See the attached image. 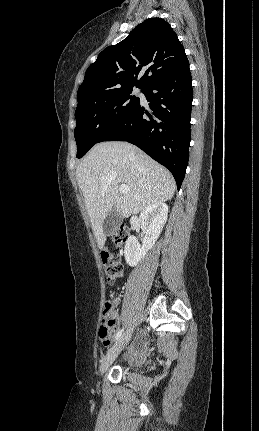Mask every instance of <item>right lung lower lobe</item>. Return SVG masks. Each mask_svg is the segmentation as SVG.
Masks as SVG:
<instances>
[{
    "instance_id": "right-lung-lower-lobe-1",
    "label": "right lung lower lobe",
    "mask_w": 259,
    "mask_h": 431,
    "mask_svg": "<svg viewBox=\"0 0 259 431\" xmlns=\"http://www.w3.org/2000/svg\"><path fill=\"white\" fill-rule=\"evenodd\" d=\"M143 93L150 113L139 102L100 142L127 141L138 146L171 171L179 190L191 137L193 90L189 64L154 82Z\"/></svg>"
}]
</instances>
